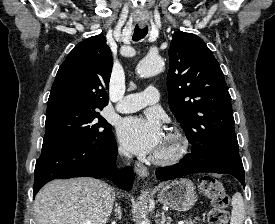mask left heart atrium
I'll use <instances>...</instances> for the list:
<instances>
[{
    "label": "left heart atrium",
    "instance_id": "1",
    "mask_svg": "<svg viewBox=\"0 0 275 224\" xmlns=\"http://www.w3.org/2000/svg\"><path fill=\"white\" fill-rule=\"evenodd\" d=\"M117 132L122 145L136 154L156 152L164 139L161 122L155 115L124 118Z\"/></svg>",
    "mask_w": 275,
    "mask_h": 224
}]
</instances>
